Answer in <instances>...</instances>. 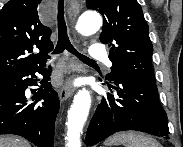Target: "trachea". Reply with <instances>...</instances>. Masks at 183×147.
Returning <instances> with one entry per match:
<instances>
[{
	"label": "trachea",
	"instance_id": "3493384b",
	"mask_svg": "<svg viewBox=\"0 0 183 147\" xmlns=\"http://www.w3.org/2000/svg\"><path fill=\"white\" fill-rule=\"evenodd\" d=\"M64 50H67L71 54L75 55L82 62L90 63L95 62L89 57L79 53L71 44L69 37L67 35V27L64 18V1L59 0L58 2V42L53 54L62 53Z\"/></svg>",
	"mask_w": 183,
	"mask_h": 147
}]
</instances>
